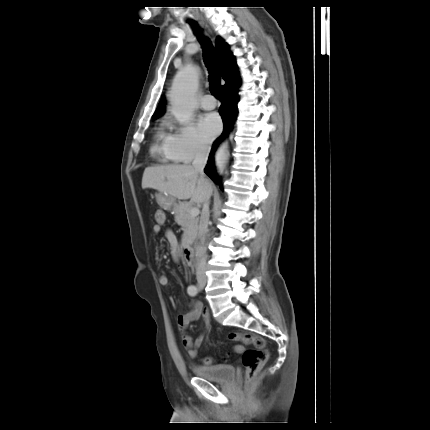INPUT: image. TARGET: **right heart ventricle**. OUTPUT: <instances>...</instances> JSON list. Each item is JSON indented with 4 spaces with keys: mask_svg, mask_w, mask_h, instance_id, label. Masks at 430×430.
<instances>
[{
    "mask_svg": "<svg viewBox=\"0 0 430 430\" xmlns=\"http://www.w3.org/2000/svg\"><path fill=\"white\" fill-rule=\"evenodd\" d=\"M168 136L169 134L165 131V125L162 124L157 129L154 135V143L151 148L152 153L157 156L162 162H173L175 161L168 148Z\"/></svg>",
    "mask_w": 430,
    "mask_h": 430,
    "instance_id": "1",
    "label": "right heart ventricle"
}]
</instances>
